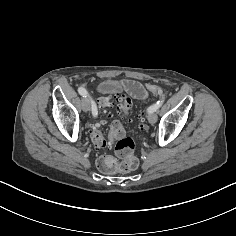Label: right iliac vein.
<instances>
[{
    "instance_id": "obj_1",
    "label": "right iliac vein",
    "mask_w": 236,
    "mask_h": 236,
    "mask_svg": "<svg viewBox=\"0 0 236 236\" xmlns=\"http://www.w3.org/2000/svg\"><path fill=\"white\" fill-rule=\"evenodd\" d=\"M81 109L85 112L90 110V100L87 96L81 99Z\"/></svg>"
}]
</instances>
